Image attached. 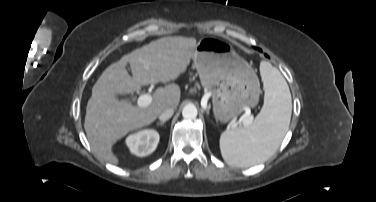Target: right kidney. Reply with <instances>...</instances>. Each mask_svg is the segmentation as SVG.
Segmentation results:
<instances>
[{
	"instance_id": "obj_1",
	"label": "right kidney",
	"mask_w": 376,
	"mask_h": 202,
	"mask_svg": "<svg viewBox=\"0 0 376 202\" xmlns=\"http://www.w3.org/2000/svg\"><path fill=\"white\" fill-rule=\"evenodd\" d=\"M158 142L159 134L154 129L140 130L126 139L131 153L140 157L151 154L156 149Z\"/></svg>"
}]
</instances>
